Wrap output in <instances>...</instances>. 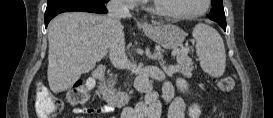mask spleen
Masks as SVG:
<instances>
[{
  "label": "spleen",
  "mask_w": 273,
  "mask_h": 118,
  "mask_svg": "<svg viewBox=\"0 0 273 118\" xmlns=\"http://www.w3.org/2000/svg\"><path fill=\"white\" fill-rule=\"evenodd\" d=\"M192 35L203 71L212 77H221L226 67V53L220 34L213 27L199 23Z\"/></svg>",
  "instance_id": "3e777b00"
}]
</instances>
